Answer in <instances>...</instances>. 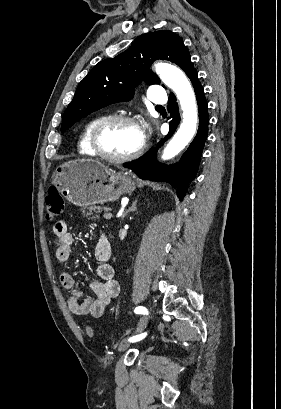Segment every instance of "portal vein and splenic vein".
<instances>
[{"label": "portal vein and splenic vein", "instance_id": "obj_1", "mask_svg": "<svg viewBox=\"0 0 281 409\" xmlns=\"http://www.w3.org/2000/svg\"><path fill=\"white\" fill-rule=\"evenodd\" d=\"M118 214V213H117ZM103 216L105 217V219H111L112 215L110 212H104Z\"/></svg>", "mask_w": 281, "mask_h": 409}]
</instances>
